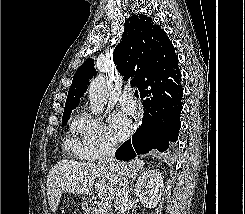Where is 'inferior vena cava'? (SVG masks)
<instances>
[{
    "mask_svg": "<svg viewBox=\"0 0 245 214\" xmlns=\"http://www.w3.org/2000/svg\"><path fill=\"white\" fill-rule=\"evenodd\" d=\"M98 164L117 174L115 208L118 211L117 214H124L129 197V176L126 173V166L115 159V149L112 144L108 142L101 144Z\"/></svg>",
    "mask_w": 245,
    "mask_h": 214,
    "instance_id": "602c4592",
    "label": "inferior vena cava"
}]
</instances>
